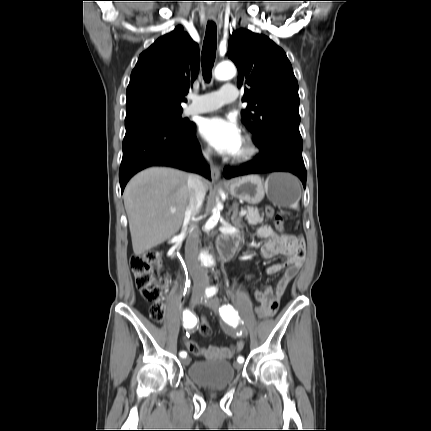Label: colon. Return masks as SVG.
I'll list each match as a JSON object with an SVG mask.
<instances>
[{"label": "colon", "instance_id": "colon-1", "mask_svg": "<svg viewBox=\"0 0 431 431\" xmlns=\"http://www.w3.org/2000/svg\"><path fill=\"white\" fill-rule=\"evenodd\" d=\"M266 215L270 218L275 219V226L278 230H283L284 228V219H276V212L273 207L267 206ZM159 263V254L155 251H149L143 255L133 256L130 260V267L135 278V285L137 289L140 291L143 298L151 303L150 307V317L156 321L161 322L164 318V305L161 302V294L164 287L168 284L169 280L167 277H162L160 275L158 269ZM258 305H255L253 311L256 314V317H260L261 313ZM204 312L198 313V318L201 319L199 330L203 336H209L211 334V328L208 323V318L205 317ZM183 340V345H185V349L189 351V354L193 356L195 359L201 358L202 349L199 348V344H197L196 339L190 338L187 333H184L181 336ZM246 345L245 339H240L236 341V350L235 353H232V358H235L236 355H241V352L244 351V346Z\"/></svg>", "mask_w": 431, "mask_h": 431}]
</instances>
